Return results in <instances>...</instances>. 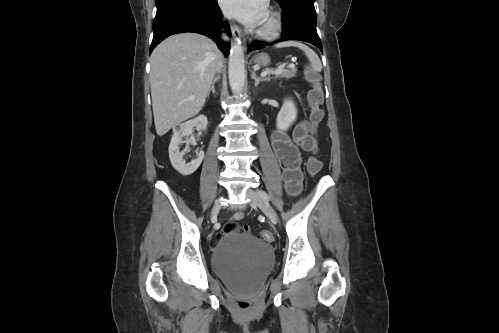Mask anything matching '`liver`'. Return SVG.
<instances>
[{"instance_id":"1","label":"liver","mask_w":499,"mask_h":333,"mask_svg":"<svg viewBox=\"0 0 499 333\" xmlns=\"http://www.w3.org/2000/svg\"><path fill=\"white\" fill-rule=\"evenodd\" d=\"M221 54L197 33H181L160 43L150 57V85L156 133L194 117L202 109ZM193 96V100L188 98Z\"/></svg>"}]
</instances>
